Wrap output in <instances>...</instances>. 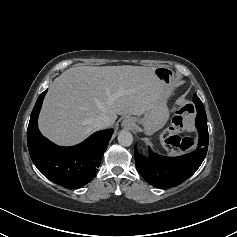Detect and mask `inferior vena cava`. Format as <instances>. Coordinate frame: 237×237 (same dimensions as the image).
I'll return each mask as SVG.
<instances>
[{"label": "inferior vena cava", "instance_id": "602c4592", "mask_svg": "<svg viewBox=\"0 0 237 237\" xmlns=\"http://www.w3.org/2000/svg\"><path fill=\"white\" fill-rule=\"evenodd\" d=\"M112 124L111 120L107 116H100L96 118L93 122V126L99 130L109 127Z\"/></svg>", "mask_w": 237, "mask_h": 237}]
</instances>
